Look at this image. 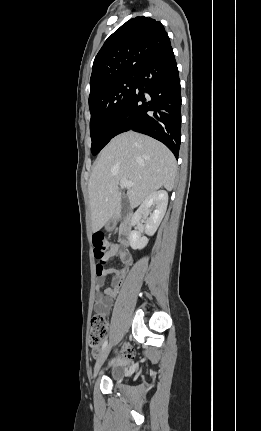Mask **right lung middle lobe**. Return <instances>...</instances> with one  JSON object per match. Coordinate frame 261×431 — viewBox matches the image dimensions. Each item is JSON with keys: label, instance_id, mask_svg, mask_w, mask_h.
Listing matches in <instances>:
<instances>
[{"label": "right lung middle lobe", "instance_id": "1", "mask_svg": "<svg viewBox=\"0 0 261 431\" xmlns=\"http://www.w3.org/2000/svg\"><path fill=\"white\" fill-rule=\"evenodd\" d=\"M136 76L107 84L89 95L91 152L96 155L113 138L114 127L134 92Z\"/></svg>", "mask_w": 261, "mask_h": 431}]
</instances>
